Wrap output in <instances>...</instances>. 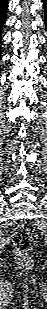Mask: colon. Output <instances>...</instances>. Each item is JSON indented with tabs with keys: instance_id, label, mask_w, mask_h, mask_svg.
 <instances>
[{
	"instance_id": "1",
	"label": "colon",
	"mask_w": 47,
	"mask_h": 309,
	"mask_svg": "<svg viewBox=\"0 0 47 309\" xmlns=\"http://www.w3.org/2000/svg\"><path fill=\"white\" fill-rule=\"evenodd\" d=\"M12 242L17 262L23 267H29L32 263L30 253L34 245L29 229L24 225L17 226L12 233Z\"/></svg>"
}]
</instances>
